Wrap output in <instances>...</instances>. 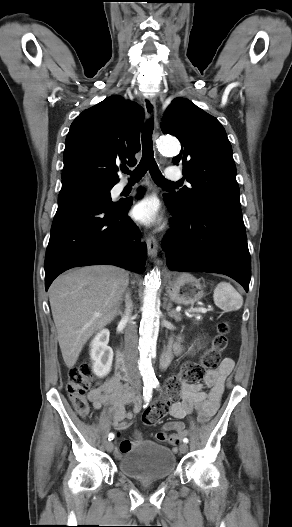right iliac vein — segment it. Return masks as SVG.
I'll list each match as a JSON object with an SVG mask.
<instances>
[{"label":"right iliac vein","instance_id":"1","mask_svg":"<svg viewBox=\"0 0 292 527\" xmlns=\"http://www.w3.org/2000/svg\"><path fill=\"white\" fill-rule=\"evenodd\" d=\"M105 447H106V450H107L108 452H112V451H113V448H114V445H113L112 442L108 441V442L106 443Z\"/></svg>","mask_w":292,"mask_h":527}]
</instances>
